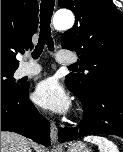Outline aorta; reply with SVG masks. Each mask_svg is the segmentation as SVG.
Listing matches in <instances>:
<instances>
[{"label":"aorta","instance_id":"762f6f07","mask_svg":"<svg viewBox=\"0 0 123 152\" xmlns=\"http://www.w3.org/2000/svg\"><path fill=\"white\" fill-rule=\"evenodd\" d=\"M74 15L70 11H58L53 18V26L56 30L64 31L70 29L74 24Z\"/></svg>","mask_w":123,"mask_h":152}]
</instances>
